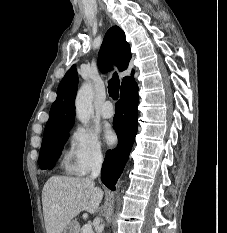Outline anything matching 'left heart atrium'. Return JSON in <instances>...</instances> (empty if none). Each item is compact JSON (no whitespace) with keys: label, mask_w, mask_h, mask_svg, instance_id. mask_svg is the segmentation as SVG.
I'll return each mask as SVG.
<instances>
[{"label":"left heart atrium","mask_w":227,"mask_h":233,"mask_svg":"<svg viewBox=\"0 0 227 233\" xmlns=\"http://www.w3.org/2000/svg\"><path fill=\"white\" fill-rule=\"evenodd\" d=\"M104 138L108 145H112L116 141V135L111 129L105 131Z\"/></svg>","instance_id":"1"}]
</instances>
